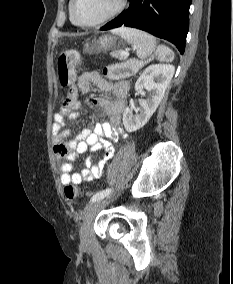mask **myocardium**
<instances>
[{"instance_id":"f54148a6","label":"myocardium","mask_w":233,"mask_h":284,"mask_svg":"<svg viewBox=\"0 0 233 284\" xmlns=\"http://www.w3.org/2000/svg\"><path fill=\"white\" fill-rule=\"evenodd\" d=\"M76 3L77 0H71L70 3V14L72 19L74 20V22L77 25L83 26V27H95V26H99L102 25L106 22H109L110 20L114 19L116 16H118L125 8L127 0H118V4L117 6L110 12L108 13L106 16H104L103 18L95 21V22H83L81 20L78 19L77 15H76Z\"/></svg>"}]
</instances>
